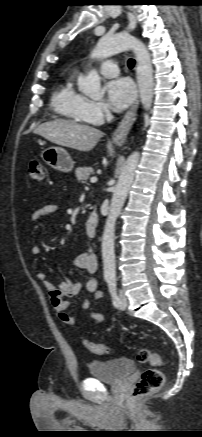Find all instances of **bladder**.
Segmentation results:
<instances>
[{"mask_svg": "<svg viewBox=\"0 0 202 437\" xmlns=\"http://www.w3.org/2000/svg\"><path fill=\"white\" fill-rule=\"evenodd\" d=\"M91 377L108 382L118 383L135 372L136 363L130 358H117L107 361H92L88 365Z\"/></svg>", "mask_w": 202, "mask_h": 437, "instance_id": "obj_1", "label": "bladder"}]
</instances>
